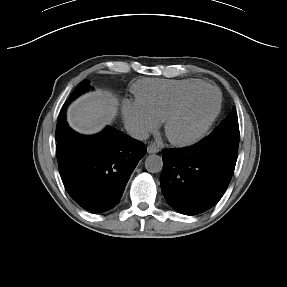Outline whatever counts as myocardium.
I'll use <instances>...</instances> for the list:
<instances>
[{"label":"myocardium","instance_id":"f54148a6","mask_svg":"<svg viewBox=\"0 0 287 287\" xmlns=\"http://www.w3.org/2000/svg\"><path fill=\"white\" fill-rule=\"evenodd\" d=\"M202 90H211L216 96V103L215 107L206 120V122L203 124V126L193 135L185 137V138H175L171 135L170 129L173 124V122L177 119V117L181 114L182 110L184 109L185 105L189 101V99L196 94L199 91ZM222 105V98L219 90L210 85V84H202L197 87H194L187 91L184 95L181 96V98L174 104L172 109L169 111L167 116L164 119V132L167 137V139L175 146L179 147H186L193 145L200 141L209 131L213 123L215 122L216 118L218 117Z\"/></svg>","mask_w":287,"mask_h":287}]
</instances>
